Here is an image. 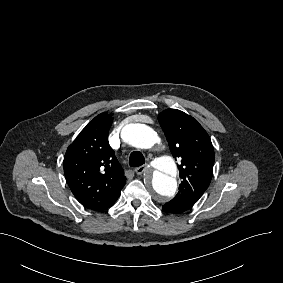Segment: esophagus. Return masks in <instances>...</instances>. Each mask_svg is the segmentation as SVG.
Instances as JSON below:
<instances>
[{
	"instance_id": "34e87169",
	"label": "esophagus",
	"mask_w": 283,
	"mask_h": 283,
	"mask_svg": "<svg viewBox=\"0 0 283 283\" xmlns=\"http://www.w3.org/2000/svg\"><path fill=\"white\" fill-rule=\"evenodd\" d=\"M148 167H149L148 164H144V165H142V166H140V167H137V168L135 169V172H136V174L141 175L144 171H146V169H147Z\"/></svg>"
}]
</instances>
